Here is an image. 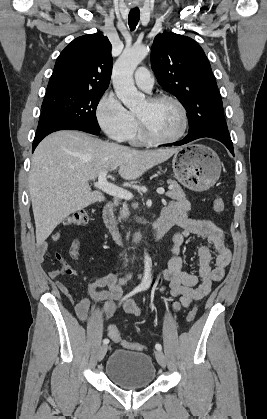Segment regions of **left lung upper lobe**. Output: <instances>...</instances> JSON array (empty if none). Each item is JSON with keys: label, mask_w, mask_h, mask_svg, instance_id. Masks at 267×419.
<instances>
[{"label": "left lung upper lobe", "mask_w": 267, "mask_h": 419, "mask_svg": "<svg viewBox=\"0 0 267 419\" xmlns=\"http://www.w3.org/2000/svg\"><path fill=\"white\" fill-rule=\"evenodd\" d=\"M151 66L159 84L185 107L189 126L200 117H211L212 132L227 129L216 79L196 41L175 33L158 34Z\"/></svg>", "instance_id": "obj_1"}]
</instances>
